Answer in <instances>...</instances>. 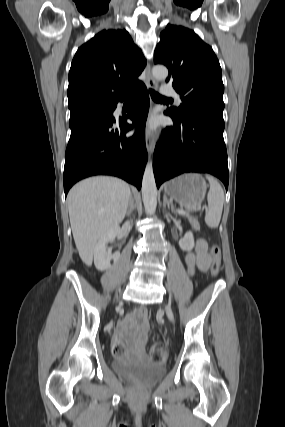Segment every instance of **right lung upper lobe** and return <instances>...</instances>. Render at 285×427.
Returning <instances> with one entry per match:
<instances>
[{
    "label": "right lung upper lobe",
    "mask_w": 285,
    "mask_h": 427,
    "mask_svg": "<svg viewBox=\"0 0 285 427\" xmlns=\"http://www.w3.org/2000/svg\"><path fill=\"white\" fill-rule=\"evenodd\" d=\"M146 61L126 30H103L76 52L67 90L71 113L95 105H114L142 82Z\"/></svg>",
    "instance_id": "1"
}]
</instances>
